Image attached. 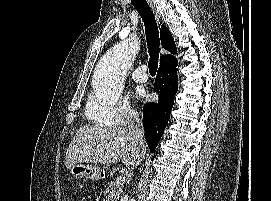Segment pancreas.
Returning a JSON list of instances; mask_svg holds the SVG:
<instances>
[{
  "mask_svg": "<svg viewBox=\"0 0 271 201\" xmlns=\"http://www.w3.org/2000/svg\"><path fill=\"white\" fill-rule=\"evenodd\" d=\"M122 194V186L116 184L115 181H110L107 186H104L101 190L103 201H118Z\"/></svg>",
  "mask_w": 271,
  "mask_h": 201,
  "instance_id": "obj_1",
  "label": "pancreas"
}]
</instances>
